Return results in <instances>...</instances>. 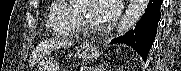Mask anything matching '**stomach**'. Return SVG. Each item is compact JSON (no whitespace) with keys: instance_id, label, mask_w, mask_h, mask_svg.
Segmentation results:
<instances>
[{"instance_id":"1","label":"stomach","mask_w":181,"mask_h":71,"mask_svg":"<svg viewBox=\"0 0 181 71\" xmlns=\"http://www.w3.org/2000/svg\"><path fill=\"white\" fill-rule=\"evenodd\" d=\"M77 55L82 60L93 61L100 56V51L92 45L84 44L78 48ZM56 69V66L50 61H44L39 66V71H57Z\"/></svg>"}]
</instances>
